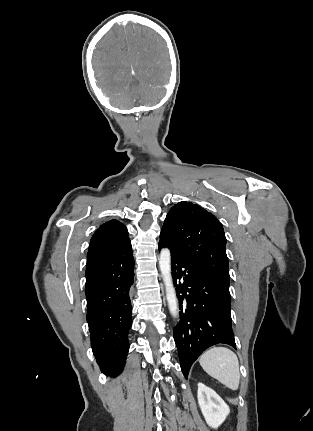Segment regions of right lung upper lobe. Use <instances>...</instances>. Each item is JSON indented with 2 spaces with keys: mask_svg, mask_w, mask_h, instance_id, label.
<instances>
[{
  "mask_svg": "<svg viewBox=\"0 0 313 431\" xmlns=\"http://www.w3.org/2000/svg\"><path fill=\"white\" fill-rule=\"evenodd\" d=\"M127 242H130V239L125 225L117 220L105 222L92 236L87 259L114 251Z\"/></svg>",
  "mask_w": 313,
  "mask_h": 431,
  "instance_id": "1",
  "label": "right lung upper lobe"
}]
</instances>
